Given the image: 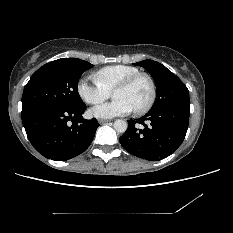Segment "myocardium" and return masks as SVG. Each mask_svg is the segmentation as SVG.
Listing matches in <instances>:
<instances>
[{
    "mask_svg": "<svg viewBox=\"0 0 233 233\" xmlns=\"http://www.w3.org/2000/svg\"><path fill=\"white\" fill-rule=\"evenodd\" d=\"M141 78L145 79L148 82L149 87H150V95H149V98L144 106H142L138 109H134V112L136 114H144V113L148 112L152 108V106L156 100L157 89H156V83H155L153 77L147 73L138 72V73H135V74L127 77L126 79L122 80L121 82H119L113 89V92H115L116 90L128 88L131 85H133L138 79H141Z\"/></svg>",
    "mask_w": 233,
    "mask_h": 233,
    "instance_id": "1",
    "label": "myocardium"
}]
</instances>
